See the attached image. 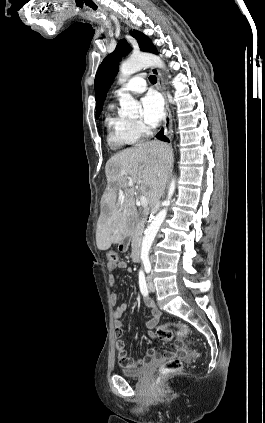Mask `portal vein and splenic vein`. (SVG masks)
I'll list each match as a JSON object with an SVG mask.
<instances>
[{"instance_id":"1","label":"portal vein and splenic vein","mask_w":265,"mask_h":423,"mask_svg":"<svg viewBox=\"0 0 265 423\" xmlns=\"http://www.w3.org/2000/svg\"><path fill=\"white\" fill-rule=\"evenodd\" d=\"M133 185V182L132 181H130L129 182V186H132ZM140 205L142 206V207H147L148 206V200H147V198L145 197V196H141L140 197Z\"/></svg>"}]
</instances>
